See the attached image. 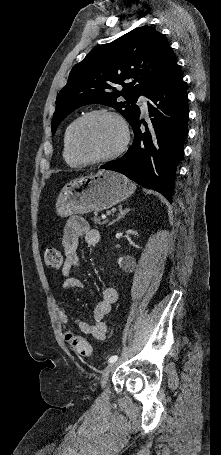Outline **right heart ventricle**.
I'll return each mask as SVG.
<instances>
[{"mask_svg":"<svg viewBox=\"0 0 221 455\" xmlns=\"http://www.w3.org/2000/svg\"><path fill=\"white\" fill-rule=\"evenodd\" d=\"M76 120H73L70 122L63 135V157L65 161L72 167H80L84 163L75 155L73 152L72 146H71V130L73 127V124Z\"/></svg>","mask_w":221,"mask_h":455,"instance_id":"right-heart-ventricle-1","label":"right heart ventricle"}]
</instances>
